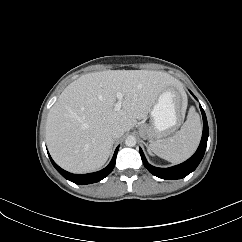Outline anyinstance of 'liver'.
Wrapping results in <instances>:
<instances>
[{
    "instance_id": "1",
    "label": "liver",
    "mask_w": 242,
    "mask_h": 242,
    "mask_svg": "<svg viewBox=\"0 0 242 242\" xmlns=\"http://www.w3.org/2000/svg\"><path fill=\"white\" fill-rule=\"evenodd\" d=\"M181 83L161 71L106 70L82 75L70 83L49 111L46 142L54 161L72 173L95 171L105 164L114 139L110 129L124 132L147 117L159 94ZM122 109L116 111V93Z\"/></svg>"
}]
</instances>
